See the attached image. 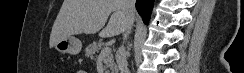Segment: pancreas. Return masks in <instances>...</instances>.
Segmentation results:
<instances>
[{
    "label": "pancreas",
    "mask_w": 244,
    "mask_h": 73,
    "mask_svg": "<svg viewBox=\"0 0 244 73\" xmlns=\"http://www.w3.org/2000/svg\"><path fill=\"white\" fill-rule=\"evenodd\" d=\"M101 48H102V43L93 42L88 47H86L85 56L92 60H95L96 53H98ZM104 63H105L106 69L107 68H111L112 70L115 69L114 58H113L111 51L105 56Z\"/></svg>",
    "instance_id": "obj_1"
}]
</instances>
